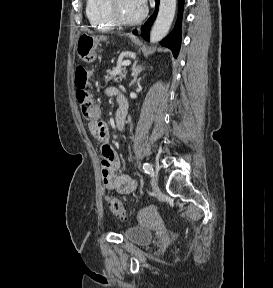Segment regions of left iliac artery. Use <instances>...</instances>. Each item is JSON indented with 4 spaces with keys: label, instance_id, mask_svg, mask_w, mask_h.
<instances>
[{
    "label": "left iliac artery",
    "instance_id": "left-iliac-artery-1",
    "mask_svg": "<svg viewBox=\"0 0 273 288\" xmlns=\"http://www.w3.org/2000/svg\"><path fill=\"white\" fill-rule=\"evenodd\" d=\"M143 171L146 173V174H149V175H152L153 174V167L151 164L149 163H144L143 164Z\"/></svg>",
    "mask_w": 273,
    "mask_h": 288
}]
</instances>
